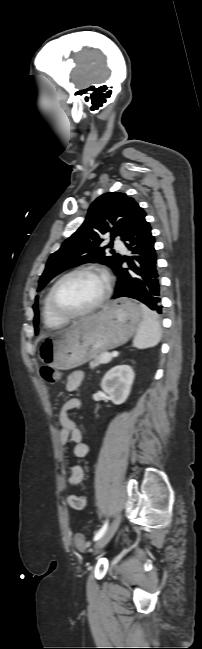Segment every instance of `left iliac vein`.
<instances>
[{
  "label": "left iliac vein",
  "instance_id": "left-iliac-vein-1",
  "mask_svg": "<svg viewBox=\"0 0 202 649\" xmlns=\"http://www.w3.org/2000/svg\"><path fill=\"white\" fill-rule=\"evenodd\" d=\"M121 521V515L118 514L111 525L109 526L108 530L104 533V535L97 541V543L94 546V552H98L100 549H102L113 537L115 534L116 530L119 527Z\"/></svg>",
  "mask_w": 202,
  "mask_h": 649
}]
</instances>
